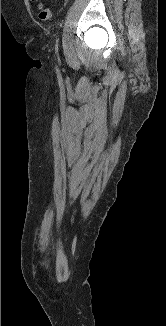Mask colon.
<instances>
[{
  "mask_svg": "<svg viewBox=\"0 0 166 326\" xmlns=\"http://www.w3.org/2000/svg\"><path fill=\"white\" fill-rule=\"evenodd\" d=\"M38 16L41 20H51L53 17V13L51 9L44 4L38 5Z\"/></svg>",
  "mask_w": 166,
  "mask_h": 326,
  "instance_id": "1",
  "label": "colon"
}]
</instances>
